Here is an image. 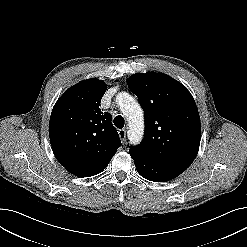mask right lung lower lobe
I'll return each mask as SVG.
<instances>
[{"mask_svg": "<svg viewBox=\"0 0 247 247\" xmlns=\"http://www.w3.org/2000/svg\"><path fill=\"white\" fill-rule=\"evenodd\" d=\"M110 162V161H109ZM109 162H106L98 167L89 169V170H84V171H79V172H73L72 174L78 176V177H89V176H94L96 174L101 173L108 165Z\"/></svg>", "mask_w": 247, "mask_h": 247, "instance_id": "right-lung-lower-lobe-1", "label": "right lung lower lobe"}]
</instances>
